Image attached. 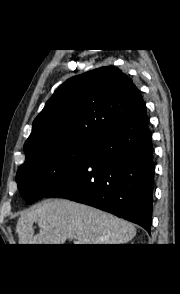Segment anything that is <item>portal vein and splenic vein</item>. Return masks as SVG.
Instances as JSON below:
<instances>
[{"instance_id":"portal-vein-and-splenic-vein-1","label":"portal vein and splenic vein","mask_w":180,"mask_h":294,"mask_svg":"<svg viewBox=\"0 0 180 294\" xmlns=\"http://www.w3.org/2000/svg\"><path fill=\"white\" fill-rule=\"evenodd\" d=\"M74 244H80L78 240H74Z\"/></svg>"}]
</instances>
